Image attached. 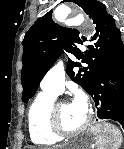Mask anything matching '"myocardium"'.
I'll list each match as a JSON object with an SVG mask.
<instances>
[{"instance_id": "myocardium-1", "label": "myocardium", "mask_w": 124, "mask_h": 149, "mask_svg": "<svg viewBox=\"0 0 124 149\" xmlns=\"http://www.w3.org/2000/svg\"><path fill=\"white\" fill-rule=\"evenodd\" d=\"M63 102H67V101L63 100L59 102H53V104L51 105V108L49 111V124H50L51 131L55 135L61 138L73 137V136L79 135L89 127L91 123V114L89 113L87 115L86 120L80 127L73 130L66 129L62 125L60 113H59V105Z\"/></svg>"}]
</instances>
